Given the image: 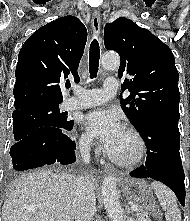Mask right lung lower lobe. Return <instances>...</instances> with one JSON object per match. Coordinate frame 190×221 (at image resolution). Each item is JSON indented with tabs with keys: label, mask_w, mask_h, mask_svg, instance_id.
Returning a JSON list of instances; mask_svg holds the SVG:
<instances>
[{
	"label": "right lung lower lobe",
	"mask_w": 190,
	"mask_h": 221,
	"mask_svg": "<svg viewBox=\"0 0 190 221\" xmlns=\"http://www.w3.org/2000/svg\"><path fill=\"white\" fill-rule=\"evenodd\" d=\"M43 126L32 131L10 149L13 169L27 170L59 162L63 165L75 162V143L65 134L73 128Z\"/></svg>",
	"instance_id": "right-lung-lower-lobe-1"
}]
</instances>
